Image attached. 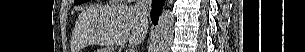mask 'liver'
<instances>
[{
	"label": "liver",
	"mask_w": 305,
	"mask_h": 52,
	"mask_svg": "<svg viewBox=\"0 0 305 52\" xmlns=\"http://www.w3.org/2000/svg\"><path fill=\"white\" fill-rule=\"evenodd\" d=\"M78 22L85 40L106 46L141 43L148 25L140 12L132 6L106 5L83 11Z\"/></svg>",
	"instance_id": "liver-1"
}]
</instances>
